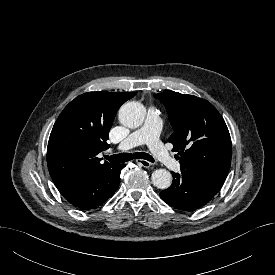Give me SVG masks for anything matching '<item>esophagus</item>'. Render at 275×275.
<instances>
[{"instance_id": "1", "label": "esophagus", "mask_w": 275, "mask_h": 275, "mask_svg": "<svg viewBox=\"0 0 275 275\" xmlns=\"http://www.w3.org/2000/svg\"><path fill=\"white\" fill-rule=\"evenodd\" d=\"M136 162L144 168L152 167V163H150L149 161L144 160V159H138Z\"/></svg>"}]
</instances>
